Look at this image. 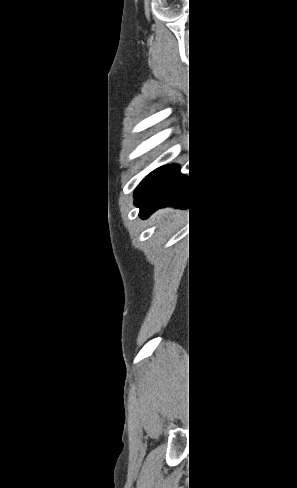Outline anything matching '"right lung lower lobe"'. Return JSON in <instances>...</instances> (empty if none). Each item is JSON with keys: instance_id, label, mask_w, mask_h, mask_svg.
I'll list each match as a JSON object with an SVG mask.
<instances>
[{"instance_id": "98d812e1", "label": "right lung lower lobe", "mask_w": 297, "mask_h": 488, "mask_svg": "<svg viewBox=\"0 0 297 488\" xmlns=\"http://www.w3.org/2000/svg\"><path fill=\"white\" fill-rule=\"evenodd\" d=\"M190 193L187 176L181 174L179 165L163 166L151 172L136 188L135 205L144 219L165 206L187 208Z\"/></svg>"}]
</instances>
